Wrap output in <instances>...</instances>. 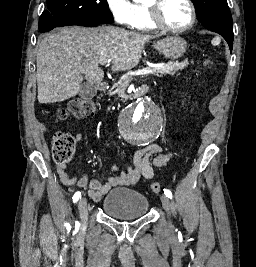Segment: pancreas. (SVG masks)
<instances>
[{
	"mask_svg": "<svg viewBox=\"0 0 256 267\" xmlns=\"http://www.w3.org/2000/svg\"><path fill=\"white\" fill-rule=\"evenodd\" d=\"M188 62L187 60H184V62H180V64H174V62H171V64H167V66H164V68H151V70H155L156 74L155 76H164V74H176L177 70H184V68H187ZM134 80L133 76H129V74H125L123 80H119L118 84H114L113 88H116V92L118 94H124L126 88H128L130 82Z\"/></svg>",
	"mask_w": 256,
	"mask_h": 267,
	"instance_id": "1",
	"label": "pancreas"
}]
</instances>
